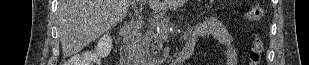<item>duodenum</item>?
Returning <instances> with one entry per match:
<instances>
[{
    "mask_svg": "<svg viewBox=\"0 0 309 65\" xmlns=\"http://www.w3.org/2000/svg\"><path fill=\"white\" fill-rule=\"evenodd\" d=\"M143 23L140 21H134L128 25L120 36V64L130 65L127 60V46L130 45L140 32ZM192 47H185L176 58L174 65L184 64L193 54Z\"/></svg>",
    "mask_w": 309,
    "mask_h": 65,
    "instance_id": "410a0bca",
    "label": "duodenum"
}]
</instances>
